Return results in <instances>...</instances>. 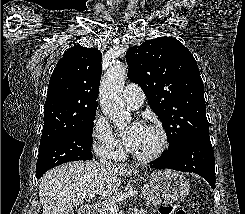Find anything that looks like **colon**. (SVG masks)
I'll list each match as a JSON object with an SVG mask.
<instances>
[{
	"instance_id": "5ec220e1",
	"label": "colon",
	"mask_w": 245,
	"mask_h": 214,
	"mask_svg": "<svg viewBox=\"0 0 245 214\" xmlns=\"http://www.w3.org/2000/svg\"><path fill=\"white\" fill-rule=\"evenodd\" d=\"M160 214H186L184 209L175 204H165L160 207Z\"/></svg>"
}]
</instances>
